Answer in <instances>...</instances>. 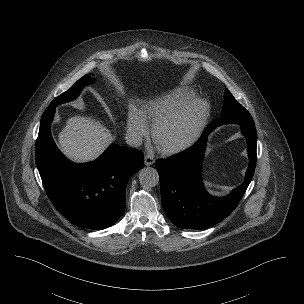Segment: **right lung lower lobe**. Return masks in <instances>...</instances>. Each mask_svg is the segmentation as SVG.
Returning a JSON list of instances; mask_svg holds the SVG:
<instances>
[{"instance_id": "right-lung-lower-lobe-1", "label": "right lung lower lobe", "mask_w": 304, "mask_h": 304, "mask_svg": "<svg viewBox=\"0 0 304 304\" xmlns=\"http://www.w3.org/2000/svg\"><path fill=\"white\" fill-rule=\"evenodd\" d=\"M56 106L41 119L36 141V164L55 208L71 223L87 229H105L125 210L126 185L144 163L141 151L111 145L97 160L69 161L57 148L50 126Z\"/></svg>"}]
</instances>
